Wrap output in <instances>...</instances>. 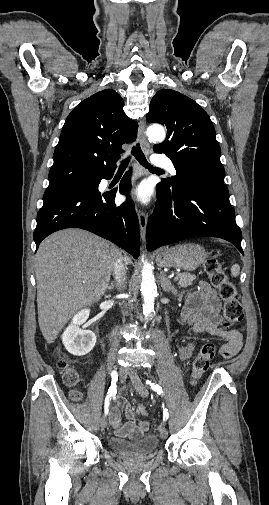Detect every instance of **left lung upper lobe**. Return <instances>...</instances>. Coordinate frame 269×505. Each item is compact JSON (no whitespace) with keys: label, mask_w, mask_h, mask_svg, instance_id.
<instances>
[{"label":"left lung upper lobe","mask_w":269,"mask_h":505,"mask_svg":"<svg viewBox=\"0 0 269 505\" xmlns=\"http://www.w3.org/2000/svg\"><path fill=\"white\" fill-rule=\"evenodd\" d=\"M146 119L166 127V140L153 149L165 153L177 171L176 176L159 183V187L171 192L194 177L224 182L225 170L214 126L194 100L174 90H159L151 100Z\"/></svg>","instance_id":"5c2ea615"}]
</instances>
